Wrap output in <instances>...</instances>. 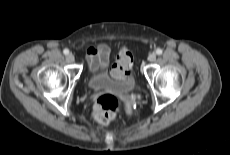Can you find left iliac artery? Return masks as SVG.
Instances as JSON below:
<instances>
[{"mask_svg":"<svg viewBox=\"0 0 230 155\" xmlns=\"http://www.w3.org/2000/svg\"><path fill=\"white\" fill-rule=\"evenodd\" d=\"M162 52H163L162 49H157V50H156V54H157V55H161Z\"/></svg>","mask_w":230,"mask_h":155,"instance_id":"1","label":"left iliac artery"}]
</instances>
